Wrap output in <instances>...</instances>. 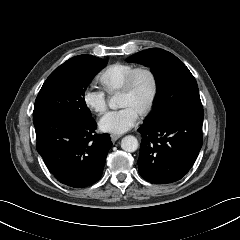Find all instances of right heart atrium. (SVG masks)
<instances>
[{
	"mask_svg": "<svg viewBox=\"0 0 240 240\" xmlns=\"http://www.w3.org/2000/svg\"><path fill=\"white\" fill-rule=\"evenodd\" d=\"M85 105L93 112L100 114L107 108V97L104 91L89 87L83 94Z\"/></svg>",
	"mask_w": 240,
	"mask_h": 240,
	"instance_id": "1",
	"label": "right heart atrium"
}]
</instances>
